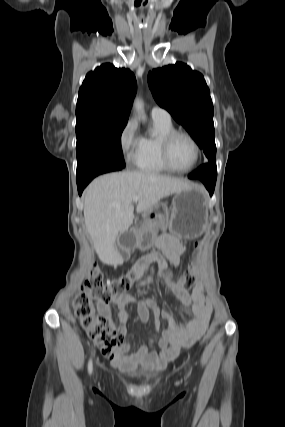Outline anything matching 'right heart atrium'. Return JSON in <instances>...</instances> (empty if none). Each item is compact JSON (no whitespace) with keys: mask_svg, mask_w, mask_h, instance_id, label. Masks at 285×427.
<instances>
[{"mask_svg":"<svg viewBox=\"0 0 285 427\" xmlns=\"http://www.w3.org/2000/svg\"><path fill=\"white\" fill-rule=\"evenodd\" d=\"M119 144L125 159L128 162L134 161L140 144L138 124L135 119H129L123 126L119 135Z\"/></svg>","mask_w":285,"mask_h":427,"instance_id":"1","label":"right heart atrium"}]
</instances>
